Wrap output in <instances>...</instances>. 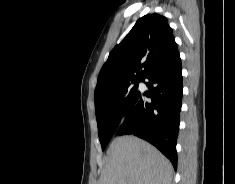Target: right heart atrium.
I'll return each instance as SVG.
<instances>
[{
    "label": "right heart atrium",
    "instance_id": "1",
    "mask_svg": "<svg viewBox=\"0 0 235 184\" xmlns=\"http://www.w3.org/2000/svg\"><path fill=\"white\" fill-rule=\"evenodd\" d=\"M124 120H125V117L122 113H118L115 115V123L117 125L123 124Z\"/></svg>",
    "mask_w": 235,
    "mask_h": 184
}]
</instances>
